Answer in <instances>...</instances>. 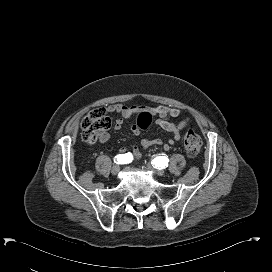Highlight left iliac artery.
I'll list each match as a JSON object with an SVG mask.
<instances>
[{
  "instance_id": "obj_1",
  "label": "left iliac artery",
  "mask_w": 272,
  "mask_h": 272,
  "mask_svg": "<svg viewBox=\"0 0 272 272\" xmlns=\"http://www.w3.org/2000/svg\"><path fill=\"white\" fill-rule=\"evenodd\" d=\"M168 162H169L168 157L162 155L154 158L151 163L153 164V166H155V168L163 169L168 166Z\"/></svg>"
}]
</instances>
